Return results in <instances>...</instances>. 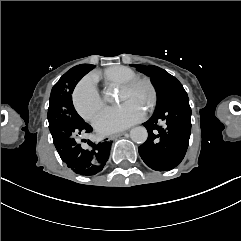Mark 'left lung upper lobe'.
I'll list each match as a JSON object with an SVG mask.
<instances>
[{
    "mask_svg": "<svg viewBox=\"0 0 241 241\" xmlns=\"http://www.w3.org/2000/svg\"><path fill=\"white\" fill-rule=\"evenodd\" d=\"M132 66L137 67L138 71L146 74L151 78V82L154 85L157 92L156 110L175 95L186 93L182 84L174 76L170 75L165 70L157 66Z\"/></svg>",
    "mask_w": 241,
    "mask_h": 241,
    "instance_id": "5c2ea615",
    "label": "left lung upper lobe"
}]
</instances>
